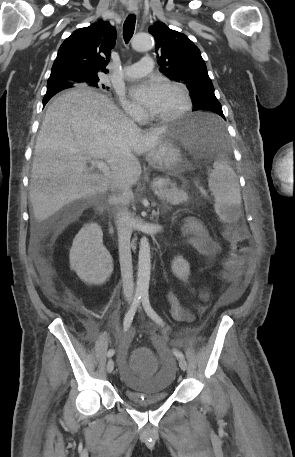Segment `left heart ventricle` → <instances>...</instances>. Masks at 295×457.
I'll return each mask as SVG.
<instances>
[{
	"mask_svg": "<svg viewBox=\"0 0 295 457\" xmlns=\"http://www.w3.org/2000/svg\"><path fill=\"white\" fill-rule=\"evenodd\" d=\"M181 105L182 98L177 89L160 85L157 102L150 111L155 115H168L177 111Z\"/></svg>",
	"mask_w": 295,
	"mask_h": 457,
	"instance_id": "left-heart-ventricle-1",
	"label": "left heart ventricle"
}]
</instances>
